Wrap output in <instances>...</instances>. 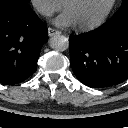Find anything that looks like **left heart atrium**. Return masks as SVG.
<instances>
[{"label": "left heart atrium", "instance_id": "39dd6f15", "mask_svg": "<svg viewBox=\"0 0 128 128\" xmlns=\"http://www.w3.org/2000/svg\"><path fill=\"white\" fill-rule=\"evenodd\" d=\"M54 23L59 27H71L75 25V21L67 11H64L62 14H60L54 20Z\"/></svg>", "mask_w": 128, "mask_h": 128}]
</instances>
